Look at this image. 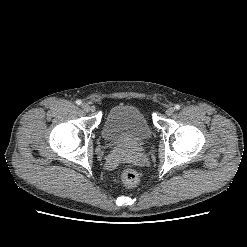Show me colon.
<instances>
[{
	"mask_svg": "<svg viewBox=\"0 0 247 247\" xmlns=\"http://www.w3.org/2000/svg\"><path fill=\"white\" fill-rule=\"evenodd\" d=\"M120 177L125 186L133 188L139 183L138 173L131 168H124L120 172Z\"/></svg>",
	"mask_w": 247,
	"mask_h": 247,
	"instance_id": "obj_1",
	"label": "colon"
}]
</instances>
